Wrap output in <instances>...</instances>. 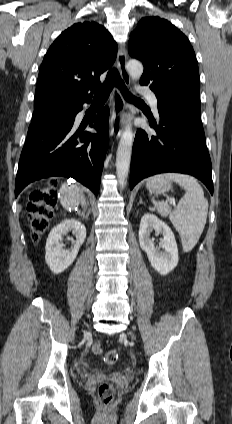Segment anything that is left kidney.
Segmentation results:
<instances>
[{
	"mask_svg": "<svg viewBox=\"0 0 232 424\" xmlns=\"http://www.w3.org/2000/svg\"><path fill=\"white\" fill-rule=\"evenodd\" d=\"M153 230L163 235L160 245L164 249L163 252H160L150 239ZM139 244L141 249L146 252L152 267L161 275H167L177 266L178 248L175 236L170 227L155 215L147 213L142 217L139 228Z\"/></svg>",
	"mask_w": 232,
	"mask_h": 424,
	"instance_id": "5707ae66",
	"label": "left kidney"
}]
</instances>
